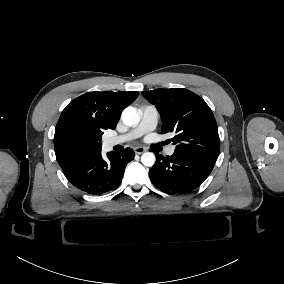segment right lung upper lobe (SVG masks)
Segmentation results:
<instances>
[{
  "label": "right lung upper lobe",
  "mask_w": 284,
  "mask_h": 284,
  "mask_svg": "<svg viewBox=\"0 0 284 284\" xmlns=\"http://www.w3.org/2000/svg\"><path fill=\"white\" fill-rule=\"evenodd\" d=\"M139 93L88 92L62 111L54 135L56 159L63 169L101 153L104 130L116 128L121 113Z\"/></svg>",
  "instance_id": "obj_1"
}]
</instances>
